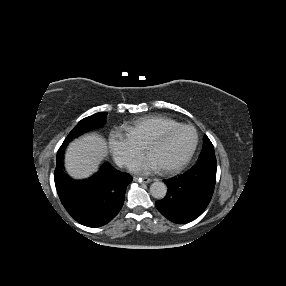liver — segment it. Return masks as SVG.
Listing matches in <instances>:
<instances>
[{
    "instance_id": "obj_1",
    "label": "liver",
    "mask_w": 286,
    "mask_h": 286,
    "mask_svg": "<svg viewBox=\"0 0 286 286\" xmlns=\"http://www.w3.org/2000/svg\"><path fill=\"white\" fill-rule=\"evenodd\" d=\"M107 156L105 140L96 134H88L75 139L65 152V167L74 178L87 177L98 168Z\"/></svg>"
}]
</instances>
